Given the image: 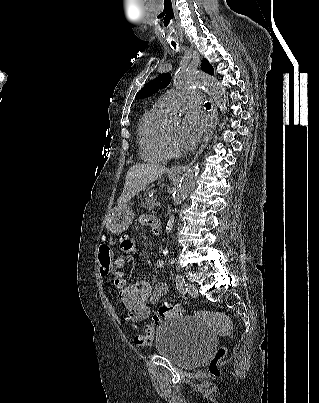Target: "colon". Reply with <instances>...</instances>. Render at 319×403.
<instances>
[{
	"label": "colon",
	"instance_id": "5ec220e1",
	"mask_svg": "<svg viewBox=\"0 0 319 403\" xmlns=\"http://www.w3.org/2000/svg\"><path fill=\"white\" fill-rule=\"evenodd\" d=\"M131 242V239H130ZM121 248V245H120ZM114 268H133V259H114ZM127 271L115 270L114 278H111V287H119L120 300L125 313H148V291H151V282H127ZM181 306L171 303H163L152 316V323L143 334L135 336V343L139 346H149L155 334L156 327L165 319L182 315ZM227 349L220 347L211 360V372L217 371V364L225 358Z\"/></svg>",
	"mask_w": 319,
	"mask_h": 403
}]
</instances>
